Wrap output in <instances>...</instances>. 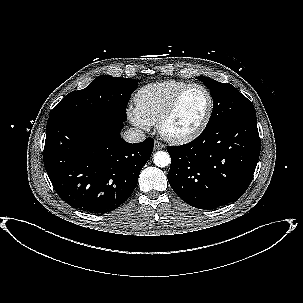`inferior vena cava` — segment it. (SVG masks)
<instances>
[{"label":"inferior vena cava","mask_w":303,"mask_h":303,"mask_svg":"<svg viewBox=\"0 0 303 303\" xmlns=\"http://www.w3.org/2000/svg\"><path fill=\"white\" fill-rule=\"evenodd\" d=\"M123 138L125 141H127L129 143H138V142L144 141L146 138V135L140 129L130 128L124 132Z\"/></svg>","instance_id":"obj_1"}]
</instances>
